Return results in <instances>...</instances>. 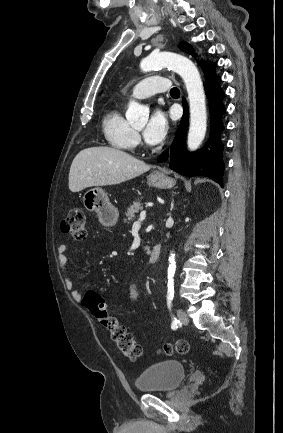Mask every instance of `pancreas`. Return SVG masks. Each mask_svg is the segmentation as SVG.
I'll return each instance as SVG.
<instances>
[{
	"label": "pancreas",
	"instance_id": "obj_1",
	"mask_svg": "<svg viewBox=\"0 0 283 433\" xmlns=\"http://www.w3.org/2000/svg\"><path fill=\"white\" fill-rule=\"evenodd\" d=\"M144 206H142V202H133L131 206H128V210L125 214L126 219H124L125 223H130L132 219L135 217V212H139V210H142ZM145 251H149V249H145Z\"/></svg>",
	"mask_w": 283,
	"mask_h": 433
}]
</instances>
